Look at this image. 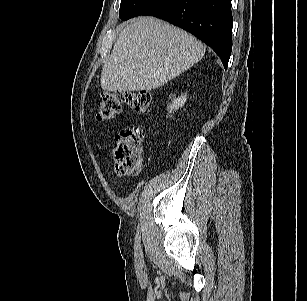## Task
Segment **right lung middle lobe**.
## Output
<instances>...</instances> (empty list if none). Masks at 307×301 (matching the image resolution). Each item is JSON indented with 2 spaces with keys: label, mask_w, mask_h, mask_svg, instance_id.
Here are the masks:
<instances>
[{
  "label": "right lung middle lobe",
  "mask_w": 307,
  "mask_h": 301,
  "mask_svg": "<svg viewBox=\"0 0 307 301\" xmlns=\"http://www.w3.org/2000/svg\"><path fill=\"white\" fill-rule=\"evenodd\" d=\"M161 0H121L119 16L122 20H128L140 15Z\"/></svg>",
  "instance_id": "right-lung-middle-lobe-1"
}]
</instances>
